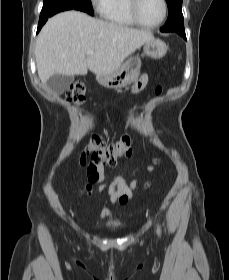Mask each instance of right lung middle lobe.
<instances>
[{
	"label": "right lung middle lobe",
	"mask_w": 229,
	"mask_h": 280,
	"mask_svg": "<svg viewBox=\"0 0 229 280\" xmlns=\"http://www.w3.org/2000/svg\"><path fill=\"white\" fill-rule=\"evenodd\" d=\"M62 8L76 9L94 15L90 0H43L41 14H51Z\"/></svg>",
	"instance_id": "dd1d6c3e"
}]
</instances>
